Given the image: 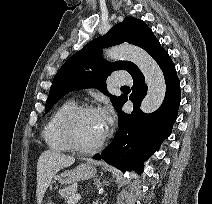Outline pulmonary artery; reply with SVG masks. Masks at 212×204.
Segmentation results:
<instances>
[{"label": "pulmonary artery", "mask_w": 212, "mask_h": 204, "mask_svg": "<svg viewBox=\"0 0 212 204\" xmlns=\"http://www.w3.org/2000/svg\"><path fill=\"white\" fill-rule=\"evenodd\" d=\"M131 77L127 74L119 73L114 77V84L115 85H125L131 83Z\"/></svg>", "instance_id": "e3ab8cb5"}]
</instances>
